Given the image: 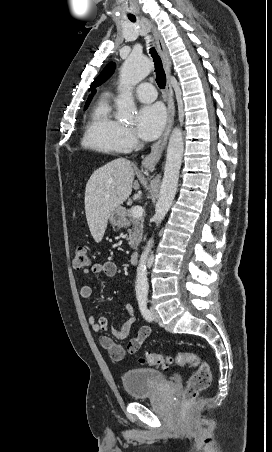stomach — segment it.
<instances>
[{
    "mask_svg": "<svg viewBox=\"0 0 272 452\" xmlns=\"http://www.w3.org/2000/svg\"><path fill=\"white\" fill-rule=\"evenodd\" d=\"M126 220V210L123 207L116 208L109 216L110 224L114 227L121 228Z\"/></svg>",
    "mask_w": 272,
    "mask_h": 452,
    "instance_id": "obj_1",
    "label": "stomach"
}]
</instances>
